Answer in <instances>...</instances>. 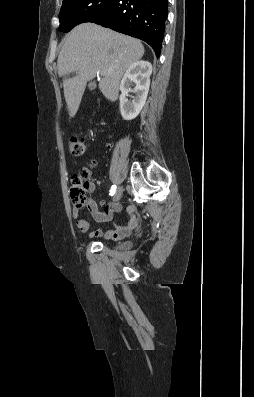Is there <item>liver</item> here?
<instances>
[{
	"label": "liver",
	"instance_id": "liver-1",
	"mask_svg": "<svg viewBox=\"0 0 254 397\" xmlns=\"http://www.w3.org/2000/svg\"><path fill=\"white\" fill-rule=\"evenodd\" d=\"M144 52L142 43L127 35L93 23L76 26L65 37L57 60L59 76L76 73L63 81L69 116H75L87 82L99 71L104 72L100 91L110 101H116L122 75Z\"/></svg>",
	"mask_w": 254,
	"mask_h": 397
}]
</instances>
